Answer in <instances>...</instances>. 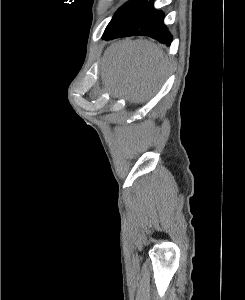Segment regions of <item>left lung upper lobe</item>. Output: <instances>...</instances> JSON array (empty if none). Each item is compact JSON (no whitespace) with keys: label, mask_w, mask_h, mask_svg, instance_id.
I'll return each mask as SVG.
<instances>
[{"label":"left lung upper lobe","mask_w":245,"mask_h":300,"mask_svg":"<svg viewBox=\"0 0 245 300\" xmlns=\"http://www.w3.org/2000/svg\"><path fill=\"white\" fill-rule=\"evenodd\" d=\"M146 0H130L125 5H123L113 16L112 20L108 24L106 31H108L112 26H114L121 18H123L128 12L142 4ZM104 32V33H105Z\"/></svg>","instance_id":"obj_1"}]
</instances>
